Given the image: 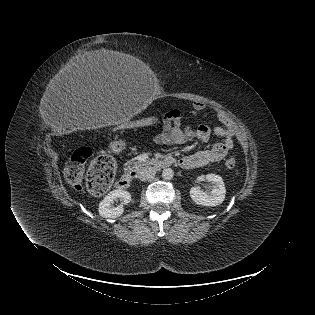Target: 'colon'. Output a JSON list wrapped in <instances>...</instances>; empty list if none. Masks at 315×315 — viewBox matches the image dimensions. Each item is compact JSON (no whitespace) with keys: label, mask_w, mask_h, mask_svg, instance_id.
Here are the masks:
<instances>
[{"label":"colon","mask_w":315,"mask_h":315,"mask_svg":"<svg viewBox=\"0 0 315 315\" xmlns=\"http://www.w3.org/2000/svg\"><path fill=\"white\" fill-rule=\"evenodd\" d=\"M155 118H147L137 123H129L125 128L143 127L152 124ZM92 156V151L88 147H79L71 154L64 170L67 182L76 190H82L84 186L94 194H103L110 187L114 174L115 164L108 156H99L91 164L84 180L85 165ZM227 168H234L236 160L229 158L226 160Z\"/></svg>","instance_id":"1"}]
</instances>
